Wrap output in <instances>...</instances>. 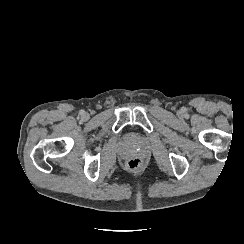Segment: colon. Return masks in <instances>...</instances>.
Segmentation results:
<instances>
[{
    "label": "colon",
    "mask_w": 244,
    "mask_h": 244,
    "mask_svg": "<svg viewBox=\"0 0 244 244\" xmlns=\"http://www.w3.org/2000/svg\"><path fill=\"white\" fill-rule=\"evenodd\" d=\"M140 160L137 159V158H130L128 161H127V165L130 169H136L140 166Z\"/></svg>",
    "instance_id": "5ec220e1"
}]
</instances>
